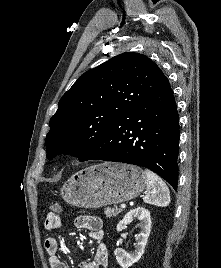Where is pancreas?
Returning a JSON list of instances; mask_svg holds the SVG:
<instances>
[{"mask_svg":"<svg viewBox=\"0 0 221 268\" xmlns=\"http://www.w3.org/2000/svg\"><path fill=\"white\" fill-rule=\"evenodd\" d=\"M121 212H122V209H120V208H118L116 206L113 207V208L107 207L105 209V215L107 217H113V216L115 217V216H117Z\"/></svg>","mask_w":221,"mask_h":268,"instance_id":"1","label":"pancreas"}]
</instances>
